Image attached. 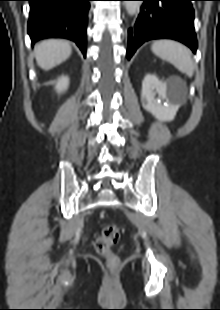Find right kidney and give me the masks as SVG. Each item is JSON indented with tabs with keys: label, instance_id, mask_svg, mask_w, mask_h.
Masks as SVG:
<instances>
[{
	"label": "right kidney",
	"instance_id": "ca27d5eb",
	"mask_svg": "<svg viewBox=\"0 0 220 310\" xmlns=\"http://www.w3.org/2000/svg\"><path fill=\"white\" fill-rule=\"evenodd\" d=\"M69 85V79L66 76H62L58 79L57 83H56V90L58 93L64 92L65 90H67Z\"/></svg>",
	"mask_w": 220,
	"mask_h": 310
}]
</instances>
